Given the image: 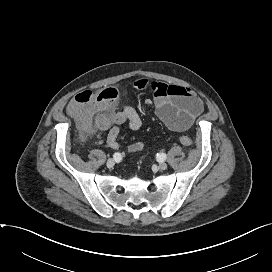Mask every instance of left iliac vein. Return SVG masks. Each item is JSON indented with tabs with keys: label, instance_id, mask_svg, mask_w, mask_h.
Instances as JSON below:
<instances>
[{
	"label": "left iliac vein",
	"instance_id": "obj_1",
	"mask_svg": "<svg viewBox=\"0 0 272 272\" xmlns=\"http://www.w3.org/2000/svg\"><path fill=\"white\" fill-rule=\"evenodd\" d=\"M158 167L160 170H165L167 168V164L165 162H160Z\"/></svg>",
	"mask_w": 272,
	"mask_h": 272
}]
</instances>
